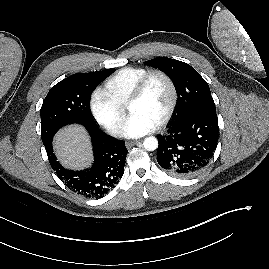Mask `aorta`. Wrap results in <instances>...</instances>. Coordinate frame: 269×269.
<instances>
[{"mask_svg":"<svg viewBox=\"0 0 269 269\" xmlns=\"http://www.w3.org/2000/svg\"><path fill=\"white\" fill-rule=\"evenodd\" d=\"M144 148L148 151H154L157 149L158 147V140L151 136V137H147L145 138L144 142H143Z\"/></svg>","mask_w":269,"mask_h":269,"instance_id":"obj_1","label":"aorta"}]
</instances>
